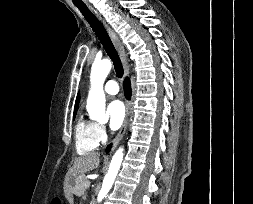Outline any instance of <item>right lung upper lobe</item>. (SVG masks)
Masks as SVG:
<instances>
[{
	"label": "right lung upper lobe",
	"instance_id": "cb5924a9",
	"mask_svg": "<svg viewBox=\"0 0 253 204\" xmlns=\"http://www.w3.org/2000/svg\"><path fill=\"white\" fill-rule=\"evenodd\" d=\"M79 99H80V96L79 94L77 95V99H76V102H75V109H74V114H76V111L78 109V103H79Z\"/></svg>",
	"mask_w": 253,
	"mask_h": 204
}]
</instances>
